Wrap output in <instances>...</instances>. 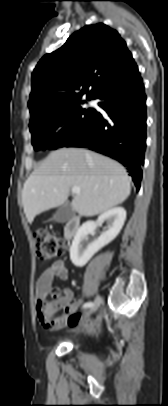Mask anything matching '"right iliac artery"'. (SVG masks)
Wrapping results in <instances>:
<instances>
[{
	"mask_svg": "<svg viewBox=\"0 0 168 406\" xmlns=\"http://www.w3.org/2000/svg\"><path fill=\"white\" fill-rule=\"evenodd\" d=\"M91 306H93V303H92V302H86V303L83 305V308H89V307H91Z\"/></svg>",
	"mask_w": 168,
	"mask_h": 406,
	"instance_id": "82829eb1",
	"label": "right iliac artery"
}]
</instances>
